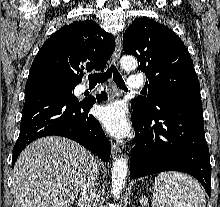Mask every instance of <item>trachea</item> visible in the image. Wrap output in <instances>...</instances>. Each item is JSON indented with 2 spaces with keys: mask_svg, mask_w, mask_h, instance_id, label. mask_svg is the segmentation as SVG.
Wrapping results in <instances>:
<instances>
[{
  "mask_svg": "<svg viewBox=\"0 0 220 207\" xmlns=\"http://www.w3.org/2000/svg\"><path fill=\"white\" fill-rule=\"evenodd\" d=\"M113 75V79L116 83V85L124 90V91H128V89L126 88L125 82L121 76V74L119 73V71L117 70V68L112 65L105 73L103 74H90L88 75V79L90 83H103L105 82L107 79H109L111 76Z\"/></svg>",
  "mask_w": 220,
  "mask_h": 207,
  "instance_id": "3493384b",
  "label": "trachea"
}]
</instances>
